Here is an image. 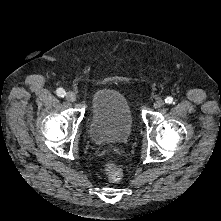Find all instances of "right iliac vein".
I'll return each instance as SVG.
<instances>
[{
	"instance_id": "1",
	"label": "right iliac vein",
	"mask_w": 221,
	"mask_h": 221,
	"mask_svg": "<svg viewBox=\"0 0 221 221\" xmlns=\"http://www.w3.org/2000/svg\"><path fill=\"white\" fill-rule=\"evenodd\" d=\"M66 99L70 102H74L76 100V95L74 92L69 91L66 93Z\"/></svg>"
}]
</instances>
